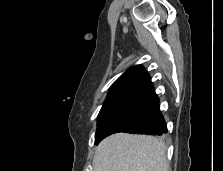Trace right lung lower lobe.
Masks as SVG:
<instances>
[{
    "mask_svg": "<svg viewBox=\"0 0 223 171\" xmlns=\"http://www.w3.org/2000/svg\"><path fill=\"white\" fill-rule=\"evenodd\" d=\"M117 132L162 135L167 132L163 116L159 110V99L154 89L137 98L105 130L103 138Z\"/></svg>",
    "mask_w": 223,
    "mask_h": 171,
    "instance_id": "right-lung-lower-lobe-1",
    "label": "right lung lower lobe"
}]
</instances>
